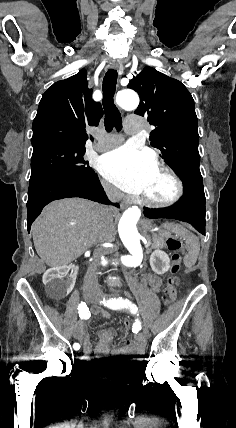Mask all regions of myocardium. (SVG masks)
Segmentation results:
<instances>
[{"mask_svg": "<svg viewBox=\"0 0 236 428\" xmlns=\"http://www.w3.org/2000/svg\"><path fill=\"white\" fill-rule=\"evenodd\" d=\"M163 170L164 173L171 179V181L174 183L175 190L174 193L165 200H157L150 198L145 195H141L140 200L151 207L159 208V209H165L170 208L177 204L184 196L185 194V183L181 176L174 170L172 166H170L166 162H159L156 164L155 170Z\"/></svg>", "mask_w": 236, "mask_h": 428, "instance_id": "f54148a6", "label": "myocardium"}]
</instances>
